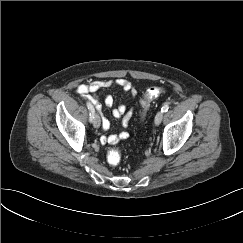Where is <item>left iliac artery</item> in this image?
<instances>
[{
    "label": "left iliac artery",
    "mask_w": 243,
    "mask_h": 243,
    "mask_svg": "<svg viewBox=\"0 0 243 243\" xmlns=\"http://www.w3.org/2000/svg\"><path fill=\"white\" fill-rule=\"evenodd\" d=\"M169 109V104L168 103H165L162 108H161V111L164 113V112H167Z\"/></svg>",
    "instance_id": "left-iliac-artery-1"
}]
</instances>
